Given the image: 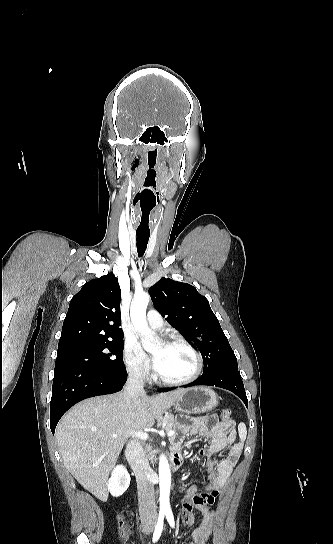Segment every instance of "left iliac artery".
Segmentation results:
<instances>
[{
    "mask_svg": "<svg viewBox=\"0 0 333 544\" xmlns=\"http://www.w3.org/2000/svg\"><path fill=\"white\" fill-rule=\"evenodd\" d=\"M166 518H167V521L170 524V526L172 528H174L175 527V521H174V516H173V513H172L171 510L166 511Z\"/></svg>",
    "mask_w": 333,
    "mask_h": 544,
    "instance_id": "44dca946",
    "label": "left iliac artery"
}]
</instances>
